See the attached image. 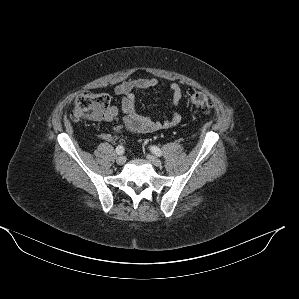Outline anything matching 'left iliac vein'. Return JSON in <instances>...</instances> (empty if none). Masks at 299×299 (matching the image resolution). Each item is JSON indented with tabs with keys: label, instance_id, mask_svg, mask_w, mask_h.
Returning <instances> with one entry per match:
<instances>
[{
	"label": "left iliac vein",
	"instance_id": "1",
	"mask_svg": "<svg viewBox=\"0 0 299 299\" xmlns=\"http://www.w3.org/2000/svg\"><path fill=\"white\" fill-rule=\"evenodd\" d=\"M147 159L154 165L157 167H160L162 165V162L160 159H158L156 156H153L151 154L147 155Z\"/></svg>",
	"mask_w": 299,
	"mask_h": 299
}]
</instances>
